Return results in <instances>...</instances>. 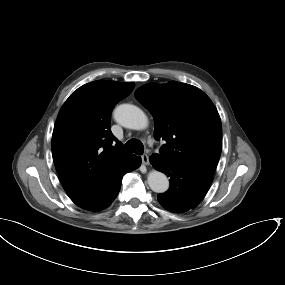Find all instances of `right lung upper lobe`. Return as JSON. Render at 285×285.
<instances>
[{
	"instance_id": "1",
	"label": "right lung upper lobe",
	"mask_w": 285,
	"mask_h": 285,
	"mask_svg": "<svg viewBox=\"0 0 285 285\" xmlns=\"http://www.w3.org/2000/svg\"><path fill=\"white\" fill-rule=\"evenodd\" d=\"M134 87V83L90 82L74 91L58 114L53 161L64 190L79 207L94 200L135 157L117 150L121 143L110 130L114 106ZM113 141L117 149H112Z\"/></svg>"
}]
</instances>
